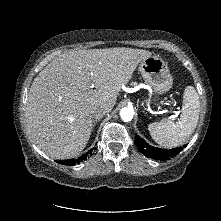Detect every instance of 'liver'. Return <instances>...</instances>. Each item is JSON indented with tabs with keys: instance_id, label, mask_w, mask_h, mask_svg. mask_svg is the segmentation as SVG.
I'll return each mask as SVG.
<instances>
[{
	"instance_id": "1",
	"label": "liver",
	"mask_w": 221,
	"mask_h": 221,
	"mask_svg": "<svg viewBox=\"0 0 221 221\" xmlns=\"http://www.w3.org/2000/svg\"><path fill=\"white\" fill-rule=\"evenodd\" d=\"M149 56L147 50L114 47L56 57L37 75L28 94L25 119L34 143L51 158L78 155L92 131L90 108L104 105L111 111L121 86Z\"/></svg>"
}]
</instances>
